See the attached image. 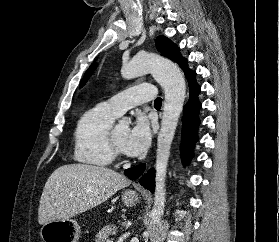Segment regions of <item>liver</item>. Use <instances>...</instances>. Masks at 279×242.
I'll return each instance as SVG.
<instances>
[{"label":"liver","mask_w":279,"mask_h":242,"mask_svg":"<svg viewBox=\"0 0 279 242\" xmlns=\"http://www.w3.org/2000/svg\"><path fill=\"white\" fill-rule=\"evenodd\" d=\"M130 183L123 174L106 167L86 164L60 166L45 183L38 222L44 225L70 219L103 203Z\"/></svg>","instance_id":"liver-1"}]
</instances>
